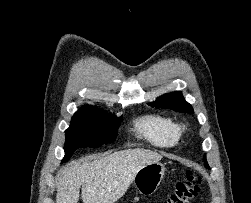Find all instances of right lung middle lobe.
<instances>
[{"mask_svg":"<svg viewBox=\"0 0 251 203\" xmlns=\"http://www.w3.org/2000/svg\"><path fill=\"white\" fill-rule=\"evenodd\" d=\"M122 118L84 106L72 117L70 127L65 131V157L67 161L74 151L81 147H98L111 143L117 137Z\"/></svg>","mask_w":251,"mask_h":203,"instance_id":"right-lung-middle-lobe-1","label":"right lung middle lobe"}]
</instances>
